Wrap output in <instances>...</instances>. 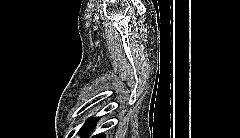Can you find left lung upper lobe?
<instances>
[{"label":"left lung upper lobe","mask_w":240,"mask_h":138,"mask_svg":"<svg viewBox=\"0 0 240 138\" xmlns=\"http://www.w3.org/2000/svg\"><path fill=\"white\" fill-rule=\"evenodd\" d=\"M91 120H89L88 122H86L83 126H82V128L80 129V133L83 131V129L88 125V123L90 122Z\"/></svg>","instance_id":"5c2ea615"}]
</instances>
